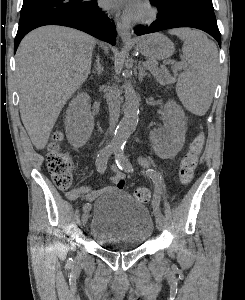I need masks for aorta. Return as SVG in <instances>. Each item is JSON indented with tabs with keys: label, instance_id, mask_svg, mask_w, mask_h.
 <instances>
[{
	"label": "aorta",
	"instance_id": "762f6f07",
	"mask_svg": "<svg viewBox=\"0 0 245 300\" xmlns=\"http://www.w3.org/2000/svg\"><path fill=\"white\" fill-rule=\"evenodd\" d=\"M125 110L124 116L115 131L111 145L114 149H121L136 129L139 115V101L137 94L129 81L124 83Z\"/></svg>",
	"mask_w": 245,
	"mask_h": 300
}]
</instances>
